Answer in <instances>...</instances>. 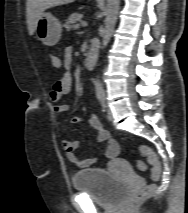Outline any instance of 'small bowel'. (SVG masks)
I'll return each instance as SVG.
<instances>
[{"label": "small bowel", "mask_w": 188, "mask_h": 213, "mask_svg": "<svg viewBox=\"0 0 188 213\" xmlns=\"http://www.w3.org/2000/svg\"><path fill=\"white\" fill-rule=\"evenodd\" d=\"M60 63L68 68L70 67L73 59V50L71 47H67L64 50L63 61L54 56ZM72 89V77L69 73L63 74L60 80H58L50 92V99L53 104V112L55 114H63L68 111L69 105L63 100L70 94ZM83 120L80 116H74L70 119L71 123H79ZM87 122L92 128L96 130V139L100 143H106V149L104 152V158L107 160H113L117 158L120 152L119 144L116 140L112 139L109 131L104 127L103 123L95 116H89ZM62 146L65 150L66 156L70 162L80 168H89L97 162L96 157L80 158L76 154V150L79 147L78 140H62Z\"/></svg>", "instance_id": "1"}]
</instances>
